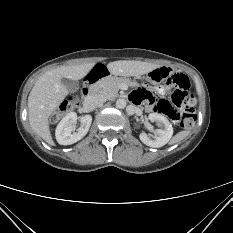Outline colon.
<instances>
[{
  "label": "colon",
  "instance_id": "5ec220e1",
  "mask_svg": "<svg viewBox=\"0 0 233 233\" xmlns=\"http://www.w3.org/2000/svg\"><path fill=\"white\" fill-rule=\"evenodd\" d=\"M167 85L175 87L172 94V103L165 100H151V105L154 110L168 116L173 121L177 122L184 129L191 128L195 123V107L196 100L190 95L187 90L189 88V79L184 74H174L167 80ZM80 92L72 94L64 101L60 109L52 116V121H57L62 114L77 108L83 98Z\"/></svg>",
  "mask_w": 233,
  "mask_h": 233
}]
</instances>
